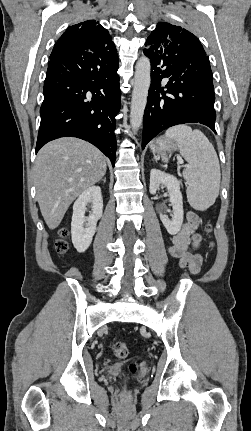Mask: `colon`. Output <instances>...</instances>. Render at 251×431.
Masks as SVG:
<instances>
[{
  "label": "colon",
  "mask_w": 251,
  "mask_h": 431,
  "mask_svg": "<svg viewBox=\"0 0 251 431\" xmlns=\"http://www.w3.org/2000/svg\"><path fill=\"white\" fill-rule=\"evenodd\" d=\"M211 227L207 226L206 231L210 232ZM60 238L56 241L55 247L56 251L60 254L65 253L68 250V243L66 241V235L68 233V230L66 228L60 229ZM111 352L118 358H125L128 354V349L125 343L123 342H114L110 345ZM137 371V365L135 363H131L129 365V372L134 374Z\"/></svg>",
  "instance_id": "obj_1"
}]
</instances>
